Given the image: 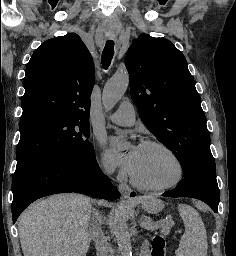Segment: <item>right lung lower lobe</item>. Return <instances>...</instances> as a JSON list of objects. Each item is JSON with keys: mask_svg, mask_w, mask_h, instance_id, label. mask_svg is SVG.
<instances>
[{"mask_svg": "<svg viewBox=\"0 0 236 256\" xmlns=\"http://www.w3.org/2000/svg\"><path fill=\"white\" fill-rule=\"evenodd\" d=\"M12 217L33 201L57 193H85L97 198L115 200L120 194L105 176L93 154H48L16 166L12 180Z\"/></svg>", "mask_w": 236, "mask_h": 256, "instance_id": "1", "label": "right lung lower lobe"}]
</instances>
